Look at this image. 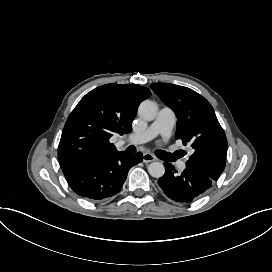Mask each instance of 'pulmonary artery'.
<instances>
[{"mask_svg": "<svg viewBox=\"0 0 272 272\" xmlns=\"http://www.w3.org/2000/svg\"><path fill=\"white\" fill-rule=\"evenodd\" d=\"M175 122L176 116L174 112L167 108H164L159 111L156 120L144 133L135 135L132 138L128 137L126 141L128 143L132 141L133 143L138 144L147 141V139H152L158 134H161L164 137H169L175 125ZM168 147L171 149L173 145L170 143ZM171 150L174 153L177 151L174 147ZM175 165L180 170H184L186 168L185 162H183V160L181 159L176 160Z\"/></svg>", "mask_w": 272, "mask_h": 272, "instance_id": "pulmonary-artery-1", "label": "pulmonary artery"}]
</instances>
